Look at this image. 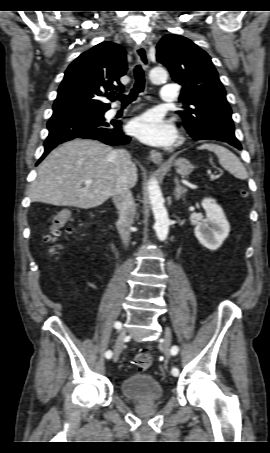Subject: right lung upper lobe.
Segmentation results:
<instances>
[{
	"mask_svg": "<svg viewBox=\"0 0 270 453\" xmlns=\"http://www.w3.org/2000/svg\"><path fill=\"white\" fill-rule=\"evenodd\" d=\"M126 71V52L118 44L102 42L82 53L65 72L52 116L109 109L100 97L114 101V91L123 89L119 79Z\"/></svg>",
	"mask_w": 270,
	"mask_h": 453,
	"instance_id": "1",
	"label": "right lung upper lobe"
}]
</instances>
